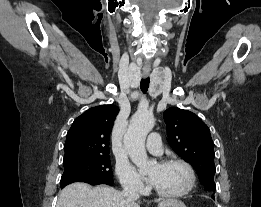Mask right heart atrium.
Segmentation results:
<instances>
[{
    "instance_id": "d8ad5b80",
    "label": "right heart atrium",
    "mask_w": 261,
    "mask_h": 207,
    "mask_svg": "<svg viewBox=\"0 0 261 207\" xmlns=\"http://www.w3.org/2000/svg\"><path fill=\"white\" fill-rule=\"evenodd\" d=\"M116 175L121 186L126 190L142 192L145 189L142 177L127 161H118L116 163Z\"/></svg>"
}]
</instances>
